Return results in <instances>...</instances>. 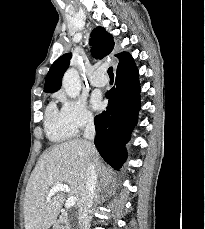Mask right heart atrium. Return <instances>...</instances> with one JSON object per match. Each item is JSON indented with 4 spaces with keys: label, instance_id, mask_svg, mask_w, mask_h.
<instances>
[{
    "label": "right heart atrium",
    "instance_id": "1",
    "mask_svg": "<svg viewBox=\"0 0 205 229\" xmlns=\"http://www.w3.org/2000/svg\"><path fill=\"white\" fill-rule=\"evenodd\" d=\"M57 96L62 103V115L75 133L94 124L95 117L83 99H68L63 93Z\"/></svg>",
    "mask_w": 205,
    "mask_h": 229
}]
</instances>
